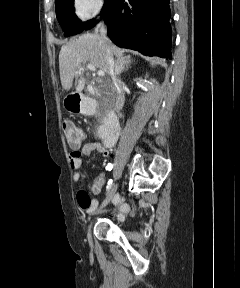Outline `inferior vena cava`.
I'll list each match as a JSON object with an SVG mask.
<instances>
[{
  "label": "inferior vena cava",
  "instance_id": "inferior-vena-cava-1",
  "mask_svg": "<svg viewBox=\"0 0 240 288\" xmlns=\"http://www.w3.org/2000/svg\"><path fill=\"white\" fill-rule=\"evenodd\" d=\"M97 29L100 32L101 39L106 43L107 42V38H106L107 30H106V26L104 25V23L102 22L98 23ZM105 50H106V59L108 63L109 75L111 77L113 87L116 91L114 109L119 114V112L122 110V107L124 105V95L122 93L121 84L117 77L118 73L116 72V69H115V63L113 60L112 53L107 45H105ZM117 122H118L117 117L113 116L108 120V125L112 123H117Z\"/></svg>",
  "mask_w": 240,
  "mask_h": 288
}]
</instances>
